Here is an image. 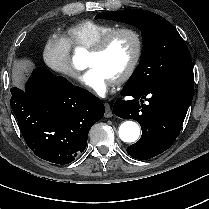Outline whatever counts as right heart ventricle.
Returning <instances> with one entry per match:
<instances>
[{
    "instance_id": "1",
    "label": "right heart ventricle",
    "mask_w": 209,
    "mask_h": 209,
    "mask_svg": "<svg viewBox=\"0 0 209 209\" xmlns=\"http://www.w3.org/2000/svg\"><path fill=\"white\" fill-rule=\"evenodd\" d=\"M117 25L110 22L84 20L69 26L65 32V38L74 48L90 49L105 34L116 28Z\"/></svg>"
}]
</instances>
